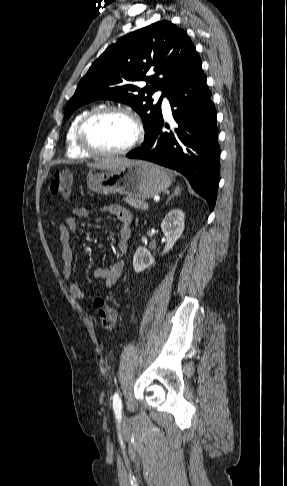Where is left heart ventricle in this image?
<instances>
[{
  "instance_id": "b2bd125f",
  "label": "left heart ventricle",
  "mask_w": 287,
  "mask_h": 486,
  "mask_svg": "<svg viewBox=\"0 0 287 486\" xmlns=\"http://www.w3.org/2000/svg\"><path fill=\"white\" fill-rule=\"evenodd\" d=\"M134 136L130 120L117 113L107 114L92 121L86 130L89 144L102 151H113L126 146Z\"/></svg>"
}]
</instances>
